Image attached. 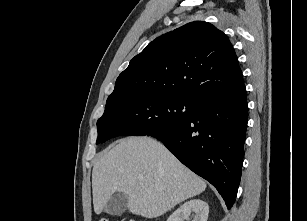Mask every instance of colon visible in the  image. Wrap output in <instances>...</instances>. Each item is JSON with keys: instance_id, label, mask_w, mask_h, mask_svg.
Listing matches in <instances>:
<instances>
[{"instance_id": "obj_1", "label": "colon", "mask_w": 307, "mask_h": 221, "mask_svg": "<svg viewBox=\"0 0 307 221\" xmlns=\"http://www.w3.org/2000/svg\"><path fill=\"white\" fill-rule=\"evenodd\" d=\"M99 221H109V220L106 219V218H101V219H99ZM129 221H138V220H136V219H131V220H129Z\"/></svg>"}]
</instances>
